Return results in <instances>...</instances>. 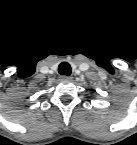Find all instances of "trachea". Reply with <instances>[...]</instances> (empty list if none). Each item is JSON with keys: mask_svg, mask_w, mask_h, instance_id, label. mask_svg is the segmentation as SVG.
I'll list each match as a JSON object with an SVG mask.
<instances>
[{"mask_svg": "<svg viewBox=\"0 0 137 145\" xmlns=\"http://www.w3.org/2000/svg\"><path fill=\"white\" fill-rule=\"evenodd\" d=\"M58 72L61 75L69 76L72 72L70 64L67 62H62L58 67Z\"/></svg>", "mask_w": 137, "mask_h": 145, "instance_id": "obj_1", "label": "trachea"}]
</instances>
